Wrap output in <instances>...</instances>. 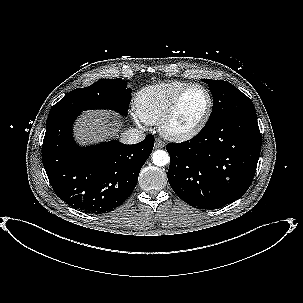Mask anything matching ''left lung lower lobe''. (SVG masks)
I'll use <instances>...</instances> for the list:
<instances>
[{
    "instance_id": "0a47b994",
    "label": "left lung lower lobe",
    "mask_w": 303,
    "mask_h": 303,
    "mask_svg": "<svg viewBox=\"0 0 303 303\" xmlns=\"http://www.w3.org/2000/svg\"><path fill=\"white\" fill-rule=\"evenodd\" d=\"M166 149L174 192L193 207L221 208L242 197L253 181L261 151L256 112L206 124L194 138Z\"/></svg>"
}]
</instances>
